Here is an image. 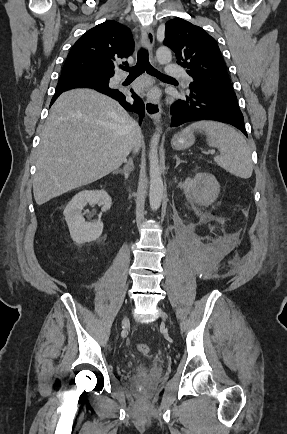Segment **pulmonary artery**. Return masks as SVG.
<instances>
[{
    "label": "pulmonary artery",
    "instance_id": "pulmonary-artery-1",
    "mask_svg": "<svg viewBox=\"0 0 287 434\" xmlns=\"http://www.w3.org/2000/svg\"><path fill=\"white\" fill-rule=\"evenodd\" d=\"M166 74L168 76L171 77H182L185 79V81L187 83H189L191 81L190 77L186 74L185 70L178 66V65H173V64H167L166 65ZM117 81H122L123 77L122 76H118L116 78Z\"/></svg>",
    "mask_w": 287,
    "mask_h": 434
}]
</instances>
